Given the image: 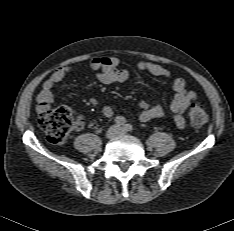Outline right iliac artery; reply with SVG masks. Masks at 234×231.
<instances>
[{
  "label": "right iliac artery",
  "instance_id": "82829eb1",
  "mask_svg": "<svg viewBox=\"0 0 234 231\" xmlns=\"http://www.w3.org/2000/svg\"><path fill=\"white\" fill-rule=\"evenodd\" d=\"M115 123L117 125H124L126 123V119L122 116H117L115 119H114Z\"/></svg>",
  "mask_w": 234,
  "mask_h": 231
}]
</instances>
